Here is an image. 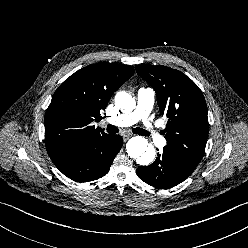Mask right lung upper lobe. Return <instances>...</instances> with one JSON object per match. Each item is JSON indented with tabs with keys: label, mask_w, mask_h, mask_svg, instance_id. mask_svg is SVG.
I'll use <instances>...</instances> for the list:
<instances>
[{
	"label": "right lung upper lobe",
	"mask_w": 248,
	"mask_h": 248,
	"mask_svg": "<svg viewBox=\"0 0 248 248\" xmlns=\"http://www.w3.org/2000/svg\"><path fill=\"white\" fill-rule=\"evenodd\" d=\"M134 73L128 65L97 63L67 78L45 114V143L51 159L105 135L91 122L101 118L113 93Z\"/></svg>",
	"instance_id": "right-lung-upper-lobe-1"
}]
</instances>
